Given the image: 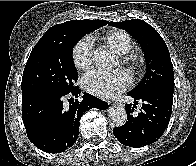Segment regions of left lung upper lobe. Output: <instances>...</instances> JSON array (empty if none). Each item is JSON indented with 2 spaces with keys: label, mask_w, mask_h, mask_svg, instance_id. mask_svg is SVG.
<instances>
[{
  "label": "left lung upper lobe",
  "mask_w": 196,
  "mask_h": 166,
  "mask_svg": "<svg viewBox=\"0 0 196 166\" xmlns=\"http://www.w3.org/2000/svg\"><path fill=\"white\" fill-rule=\"evenodd\" d=\"M125 29L140 44L146 59V74L130 94L140 95L151 90L174 92V72L170 54L162 37L148 23L140 19L110 22Z\"/></svg>",
  "instance_id": "obj_1"
}]
</instances>
